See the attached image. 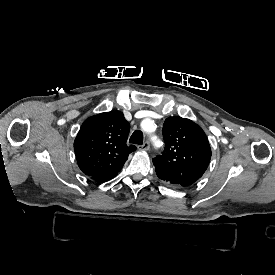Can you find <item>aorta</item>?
<instances>
[{"label":"aorta","instance_id":"aorta-1","mask_svg":"<svg viewBox=\"0 0 275 275\" xmlns=\"http://www.w3.org/2000/svg\"><path fill=\"white\" fill-rule=\"evenodd\" d=\"M146 124H147V126H149V128H144V127L142 126V123H141V127L143 128L144 131L149 132L150 130L153 129L154 124H153V122H152L151 120H148V121L146 122Z\"/></svg>","mask_w":275,"mask_h":275}]
</instances>
